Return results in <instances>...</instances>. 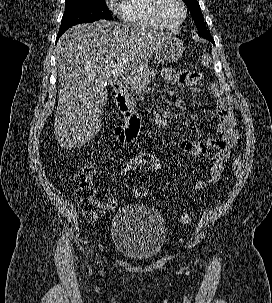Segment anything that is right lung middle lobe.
I'll return each mask as SVG.
<instances>
[{
  "label": "right lung middle lobe",
  "mask_w": 272,
  "mask_h": 303,
  "mask_svg": "<svg viewBox=\"0 0 272 303\" xmlns=\"http://www.w3.org/2000/svg\"><path fill=\"white\" fill-rule=\"evenodd\" d=\"M65 5L59 33L79 23L112 19L105 0H66Z\"/></svg>",
  "instance_id": "obj_1"
}]
</instances>
